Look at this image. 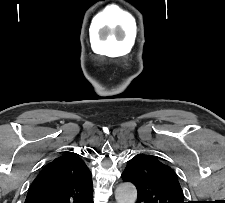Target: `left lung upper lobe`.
I'll return each instance as SVG.
<instances>
[{"mask_svg":"<svg viewBox=\"0 0 225 203\" xmlns=\"http://www.w3.org/2000/svg\"><path fill=\"white\" fill-rule=\"evenodd\" d=\"M122 179L136 186L138 203H185L175 172L152 155L134 156L122 173Z\"/></svg>","mask_w":225,"mask_h":203,"instance_id":"left-lung-upper-lobe-1","label":"left lung upper lobe"}]
</instances>
